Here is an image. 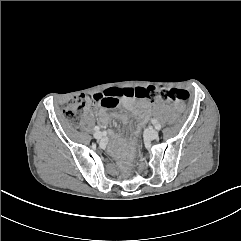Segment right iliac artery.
Returning a JSON list of instances; mask_svg holds the SVG:
<instances>
[{"label": "right iliac artery", "instance_id": "obj_1", "mask_svg": "<svg viewBox=\"0 0 241 241\" xmlns=\"http://www.w3.org/2000/svg\"><path fill=\"white\" fill-rule=\"evenodd\" d=\"M94 130H95V131H99V130H100V127H99V126H95V127H94Z\"/></svg>", "mask_w": 241, "mask_h": 241}]
</instances>
